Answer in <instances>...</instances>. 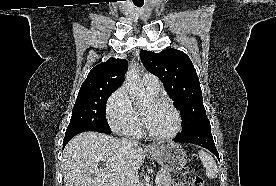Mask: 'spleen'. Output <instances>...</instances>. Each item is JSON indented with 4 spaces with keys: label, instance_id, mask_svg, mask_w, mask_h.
<instances>
[{
    "label": "spleen",
    "instance_id": "3e777b00",
    "mask_svg": "<svg viewBox=\"0 0 276 186\" xmlns=\"http://www.w3.org/2000/svg\"><path fill=\"white\" fill-rule=\"evenodd\" d=\"M198 155L205 167L206 176L210 179H215L218 175V168L213 157L203 150L199 151Z\"/></svg>",
    "mask_w": 276,
    "mask_h": 186
}]
</instances>
